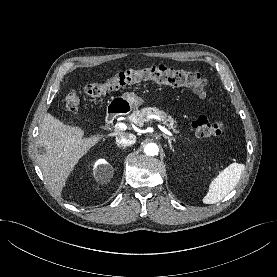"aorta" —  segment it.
I'll list each match as a JSON object with an SVG mask.
<instances>
[{
    "mask_svg": "<svg viewBox=\"0 0 277 277\" xmlns=\"http://www.w3.org/2000/svg\"><path fill=\"white\" fill-rule=\"evenodd\" d=\"M158 151H159L158 146L155 143L147 144L144 148L145 154L149 156L157 155Z\"/></svg>",
    "mask_w": 277,
    "mask_h": 277,
    "instance_id": "obj_1",
    "label": "aorta"
}]
</instances>
